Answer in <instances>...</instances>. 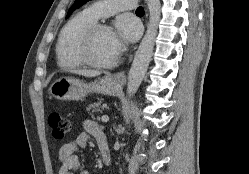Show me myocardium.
Wrapping results in <instances>:
<instances>
[{
  "label": "myocardium",
  "instance_id": "obj_1",
  "mask_svg": "<svg viewBox=\"0 0 249 174\" xmlns=\"http://www.w3.org/2000/svg\"><path fill=\"white\" fill-rule=\"evenodd\" d=\"M100 31H112V28L106 24H96V23L91 27H89L81 38L78 47V53L84 64L96 69H107L113 67L117 63L119 54L117 52L115 58L110 62H97L94 59H92L90 55L92 39L95 36V34Z\"/></svg>",
  "mask_w": 249,
  "mask_h": 174
}]
</instances>
